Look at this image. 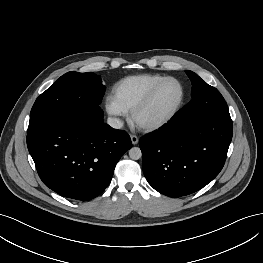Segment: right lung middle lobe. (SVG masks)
I'll use <instances>...</instances> for the list:
<instances>
[{"instance_id":"dd1d6c3e","label":"right lung middle lobe","mask_w":263,"mask_h":263,"mask_svg":"<svg viewBox=\"0 0 263 263\" xmlns=\"http://www.w3.org/2000/svg\"><path fill=\"white\" fill-rule=\"evenodd\" d=\"M105 86L93 72H68L35 101L27 133L35 132L63 115H75L90 106H99Z\"/></svg>"}]
</instances>
